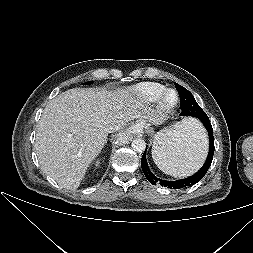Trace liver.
<instances>
[{
    "label": "liver",
    "mask_w": 253,
    "mask_h": 253,
    "mask_svg": "<svg viewBox=\"0 0 253 253\" xmlns=\"http://www.w3.org/2000/svg\"><path fill=\"white\" fill-rule=\"evenodd\" d=\"M150 115L125 89L67 90L47 104L38 123L35 150L41 169L63 188L77 189L104 147L108 128L120 129L133 119L143 126Z\"/></svg>",
    "instance_id": "obj_1"
}]
</instances>
